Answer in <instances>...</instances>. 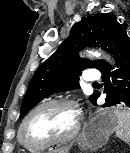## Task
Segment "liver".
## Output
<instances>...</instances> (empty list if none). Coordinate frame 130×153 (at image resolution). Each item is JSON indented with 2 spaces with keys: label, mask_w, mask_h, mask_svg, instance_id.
Wrapping results in <instances>:
<instances>
[{
  "label": "liver",
  "mask_w": 130,
  "mask_h": 153,
  "mask_svg": "<svg viewBox=\"0 0 130 153\" xmlns=\"http://www.w3.org/2000/svg\"><path fill=\"white\" fill-rule=\"evenodd\" d=\"M56 153H65L64 150H56Z\"/></svg>",
  "instance_id": "6515ba94"
}]
</instances>
